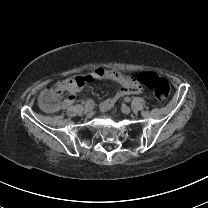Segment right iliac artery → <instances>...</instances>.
I'll list each match as a JSON object with an SVG mask.
<instances>
[{
    "instance_id": "1",
    "label": "right iliac artery",
    "mask_w": 208,
    "mask_h": 208,
    "mask_svg": "<svg viewBox=\"0 0 208 208\" xmlns=\"http://www.w3.org/2000/svg\"><path fill=\"white\" fill-rule=\"evenodd\" d=\"M93 103V100L92 99H88L87 101H86V105H91Z\"/></svg>"
}]
</instances>
